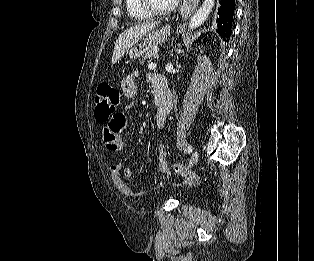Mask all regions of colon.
Listing matches in <instances>:
<instances>
[{"instance_id": "5ec220e1", "label": "colon", "mask_w": 314, "mask_h": 261, "mask_svg": "<svg viewBox=\"0 0 314 261\" xmlns=\"http://www.w3.org/2000/svg\"><path fill=\"white\" fill-rule=\"evenodd\" d=\"M95 101V118L100 123L104 124V121L108 120V117L111 116L112 113H120L117 111L120 103V93L112 85L107 83L99 85L95 94ZM172 171L180 175L184 173L185 168L182 164L174 163L172 165Z\"/></svg>"}]
</instances>
